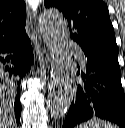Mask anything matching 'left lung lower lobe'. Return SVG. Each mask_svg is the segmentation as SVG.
Segmentation results:
<instances>
[{
    "label": "left lung lower lobe",
    "mask_w": 125,
    "mask_h": 128,
    "mask_svg": "<svg viewBox=\"0 0 125 128\" xmlns=\"http://www.w3.org/2000/svg\"><path fill=\"white\" fill-rule=\"evenodd\" d=\"M73 101L62 128H73L92 117L113 121L125 128V95L118 58L85 56L78 71Z\"/></svg>",
    "instance_id": "left-lung-lower-lobe-1"
}]
</instances>
